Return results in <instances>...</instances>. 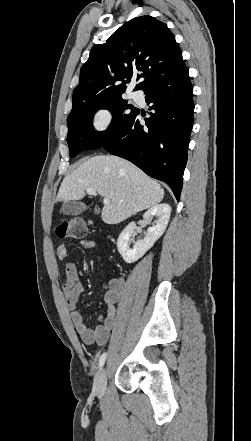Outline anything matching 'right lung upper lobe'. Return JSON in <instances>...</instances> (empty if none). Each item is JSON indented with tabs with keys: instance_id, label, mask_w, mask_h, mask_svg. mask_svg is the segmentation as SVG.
<instances>
[{
	"instance_id": "1",
	"label": "right lung upper lobe",
	"mask_w": 251,
	"mask_h": 441,
	"mask_svg": "<svg viewBox=\"0 0 251 441\" xmlns=\"http://www.w3.org/2000/svg\"><path fill=\"white\" fill-rule=\"evenodd\" d=\"M185 65L174 35L151 16L136 17L118 28L104 44L95 46L80 70L73 103L122 96L136 75L143 90L151 82Z\"/></svg>"
}]
</instances>
